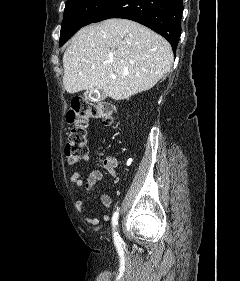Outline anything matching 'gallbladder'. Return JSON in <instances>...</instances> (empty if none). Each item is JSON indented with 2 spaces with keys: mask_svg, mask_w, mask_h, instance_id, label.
Returning a JSON list of instances; mask_svg holds the SVG:
<instances>
[{
  "mask_svg": "<svg viewBox=\"0 0 240 281\" xmlns=\"http://www.w3.org/2000/svg\"><path fill=\"white\" fill-rule=\"evenodd\" d=\"M84 95L86 98L92 99L91 97H89L88 92H86ZM95 97H96V95H95ZM104 98H105V94L103 92H101V95L98 97V99L103 100Z\"/></svg>",
  "mask_w": 240,
  "mask_h": 281,
  "instance_id": "obj_1",
  "label": "gallbladder"
}]
</instances>
